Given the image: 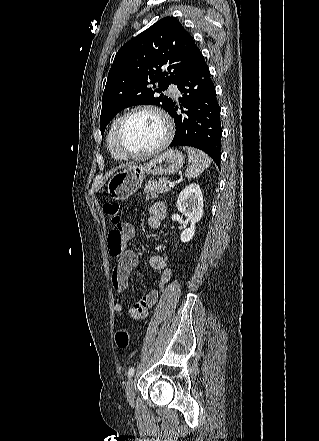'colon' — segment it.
I'll list each match as a JSON object with an SVG mask.
<instances>
[{
  "label": "colon",
  "mask_w": 319,
  "mask_h": 441,
  "mask_svg": "<svg viewBox=\"0 0 319 441\" xmlns=\"http://www.w3.org/2000/svg\"><path fill=\"white\" fill-rule=\"evenodd\" d=\"M103 212L109 221L116 227L120 225V205L117 202H107L103 206ZM113 233V232H112ZM116 344L121 349H126L130 344V337L126 329L120 328L115 334Z\"/></svg>",
  "instance_id": "1"
}]
</instances>
